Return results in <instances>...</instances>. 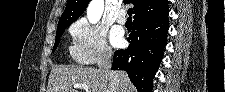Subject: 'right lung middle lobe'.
Wrapping results in <instances>:
<instances>
[{"label": "right lung middle lobe", "mask_w": 225, "mask_h": 92, "mask_svg": "<svg viewBox=\"0 0 225 92\" xmlns=\"http://www.w3.org/2000/svg\"><path fill=\"white\" fill-rule=\"evenodd\" d=\"M69 25L70 24H64V23L63 24H58L57 32H56V40H55V44H54V47H53V52L55 51L56 47L58 46L59 41H60V37L64 33L65 28H67Z\"/></svg>", "instance_id": "dd1d6c3e"}]
</instances>
